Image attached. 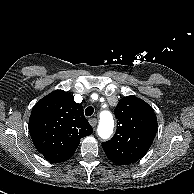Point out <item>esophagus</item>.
<instances>
[{"instance_id": "34e87169", "label": "esophagus", "mask_w": 194, "mask_h": 194, "mask_svg": "<svg viewBox=\"0 0 194 194\" xmlns=\"http://www.w3.org/2000/svg\"><path fill=\"white\" fill-rule=\"evenodd\" d=\"M97 119L96 118H91V119H89V123H90V125L94 128V127H96V125H97Z\"/></svg>"}]
</instances>
